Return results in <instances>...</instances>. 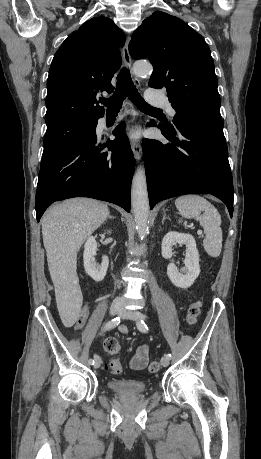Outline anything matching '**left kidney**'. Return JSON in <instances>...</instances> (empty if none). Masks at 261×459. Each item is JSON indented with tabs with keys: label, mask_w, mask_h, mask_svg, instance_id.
Listing matches in <instances>:
<instances>
[{
	"label": "left kidney",
	"mask_w": 261,
	"mask_h": 459,
	"mask_svg": "<svg viewBox=\"0 0 261 459\" xmlns=\"http://www.w3.org/2000/svg\"><path fill=\"white\" fill-rule=\"evenodd\" d=\"M177 244L186 246L185 267L179 271L174 263H170L167 266V274L176 287L187 289L200 274L199 253L192 235L170 231L162 240V256L165 259H170L173 255V246Z\"/></svg>",
	"instance_id": "1"
}]
</instances>
